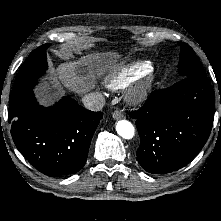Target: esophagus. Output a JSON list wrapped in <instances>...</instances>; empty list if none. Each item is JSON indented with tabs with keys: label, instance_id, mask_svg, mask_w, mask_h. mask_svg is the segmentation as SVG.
Masks as SVG:
<instances>
[{
	"label": "esophagus",
	"instance_id": "esophagus-1",
	"mask_svg": "<svg viewBox=\"0 0 221 221\" xmlns=\"http://www.w3.org/2000/svg\"><path fill=\"white\" fill-rule=\"evenodd\" d=\"M112 117H113V119L118 120V119L123 118L124 114L121 111L116 110L112 113Z\"/></svg>",
	"mask_w": 221,
	"mask_h": 221
}]
</instances>
